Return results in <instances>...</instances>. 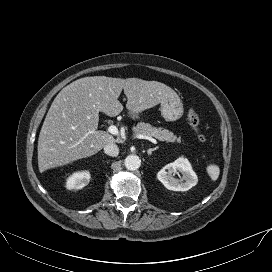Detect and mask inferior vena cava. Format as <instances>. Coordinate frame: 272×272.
Here are the masks:
<instances>
[{
    "mask_svg": "<svg viewBox=\"0 0 272 272\" xmlns=\"http://www.w3.org/2000/svg\"><path fill=\"white\" fill-rule=\"evenodd\" d=\"M104 153L109 156H117L119 154V148L114 143H108L104 146Z\"/></svg>",
    "mask_w": 272,
    "mask_h": 272,
    "instance_id": "obj_1",
    "label": "inferior vena cava"
}]
</instances>
